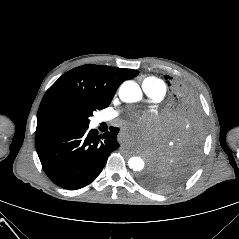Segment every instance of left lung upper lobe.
<instances>
[{
    "label": "left lung upper lobe",
    "mask_w": 239,
    "mask_h": 239,
    "mask_svg": "<svg viewBox=\"0 0 239 239\" xmlns=\"http://www.w3.org/2000/svg\"><path fill=\"white\" fill-rule=\"evenodd\" d=\"M170 87L167 123L169 135L163 149L141 182L157 192L181 185L193 172L203 148V111L196 93L181 80L165 76Z\"/></svg>",
    "instance_id": "5c2ea615"
}]
</instances>
